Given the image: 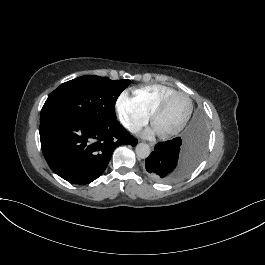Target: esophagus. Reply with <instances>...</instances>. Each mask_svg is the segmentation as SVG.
<instances>
[{"mask_svg":"<svg viewBox=\"0 0 265 265\" xmlns=\"http://www.w3.org/2000/svg\"><path fill=\"white\" fill-rule=\"evenodd\" d=\"M149 145H150L151 147H154L155 144L151 142V143H149Z\"/></svg>","mask_w":265,"mask_h":265,"instance_id":"1","label":"esophagus"}]
</instances>
